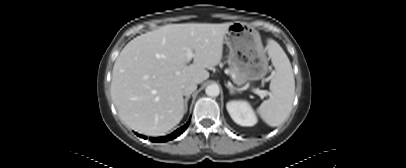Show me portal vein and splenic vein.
I'll use <instances>...</instances> for the list:
<instances>
[{
	"mask_svg": "<svg viewBox=\"0 0 406 168\" xmlns=\"http://www.w3.org/2000/svg\"><path fill=\"white\" fill-rule=\"evenodd\" d=\"M194 57V53L192 52V50L187 49L186 52V58L187 61H191V59ZM254 93H256L257 95H259L261 98H264L266 95H269V92L265 91V90H260V89H255Z\"/></svg>",
	"mask_w": 406,
	"mask_h": 168,
	"instance_id": "1",
	"label": "portal vein and splenic vein"
}]
</instances>
